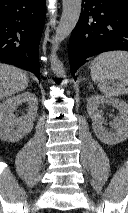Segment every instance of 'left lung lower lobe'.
Wrapping results in <instances>:
<instances>
[{
    "label": "left lung lower lobe",
    "mask_w": 128,
    "mask_h": 213,
    "mask_svg": "<svg viewBox=\"0 0 128 213\" xmlns=\"http://www.w3.org/2000/svg\"><path fill=\"white\" fill-rule=\"evenodd\" d=\"M69 44L74 77L82 62L112 50H128V0H83Z\"/></svg>",
    "instance_id": "obj_1"
}]
</instances>
